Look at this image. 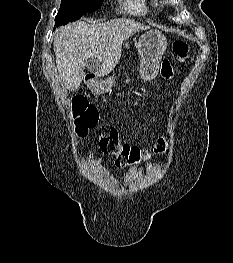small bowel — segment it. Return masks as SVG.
Returning a JSON list of instances; mask_svg holds the SVG:
<instances>
[{
    "instance_id": "1",
    "label": "small bowel",
    "mask_w": 233,
    "mask_h": 263,
    "mask_svg": "<svg viewBox=\"0 0 233 263\" xmlns=\"http://www.w3.org/2000/svg\"><path fill=\"white\" fill-rule=\"evenodd\" d=\"M161 75L165 79H171L173 76V70L170 63L165 60L161 66Z\"/></svg>"
}]
</instances>
